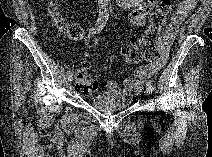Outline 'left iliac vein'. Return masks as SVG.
Here are the masks:
<instances>
[{
    "label": "left iliac vein",
    "instance_id": "4c4485c4",
    "mask_svg": "<svg viewBox=\"0 0 212 157\" xmlns=\"http://www.w3.org/2000/svg\"><path fill=\"white\" fill-rule=\"evenodd\" d=\"M145 93H146L147 95H149V94L151 93V91H150L149 89H146Z\"/></svg>",
    "mask_w": 212,
    "mask_h": 157
}]
</instances>
